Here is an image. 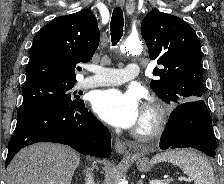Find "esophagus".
<instances>
[{
  "label": "esophagus",
  "instance_id": "obj_1",
  "mask_svg": "<svg viewBox=\"0 0 224 184\" xmlns=\"http://www.w3.org/2000/svg\"><path fill=\"white\" fill-rule=\"evenodd\" d=\"M125 4V0H116V5L117 6H124ZM115 150L117 153L119 154H123V155H128V152H127V149H126V146L124 145V143L119 140V139H116L115 140Z\"/></svg>",
  "mask_w": 224,
  "mask_h": 184
}]
</instances>
